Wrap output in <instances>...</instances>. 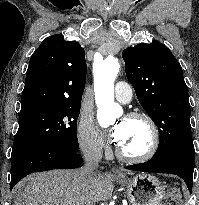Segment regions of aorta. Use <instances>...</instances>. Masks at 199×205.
Returning a JSON list of instances; mask_svg holds the SVG:
<instances>
[{
    "label": "aorta",
    "instance_id": "obj_1",
    "mask_svg": "<svg viewBox=\"0 0 199 205\" xmlns=\"http://www.w3.org/2000/svg\"><path fill=\"white\" fill-rule=\"evenodd\" d=\"M120 69L115 57H107L94 67L95 100L99 108L97 119L101 126L107 125L112 118L120 115L121 107L114 102V80Z\"/></svg>",
    "mask_w": 199,
    "mask_h": 205
}]
</instances>
